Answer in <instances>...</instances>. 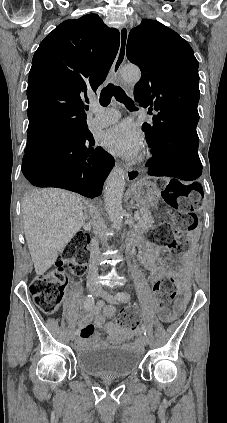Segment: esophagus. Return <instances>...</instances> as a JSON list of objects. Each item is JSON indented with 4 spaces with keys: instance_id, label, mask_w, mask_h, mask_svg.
<instances>
[{
    "instance_id": "obj_1",
    "label": "esophagus",
    "mask_w": 227,
    "mask_h": 423,
    "mask_svg": "<svg viewBox=\"0 0 227 423\" xmlns=\"http://www.w3.org/2000/svg\"><path fill=\"white\" fill-rule=\"evenodd\" d=\"M119 32H120V46H119V50L115 58V61L113 63L112 69H111L112 77L115 80L118 78L120 68L122 67V65L124 64L126 60V47H127V40L129 35V30L125 25L120 27ZM125 172H126V178L128 182L136 181L137 178H139L140 176L139 170L132 167H127Z\"/></svg>"
}]
</instances>
